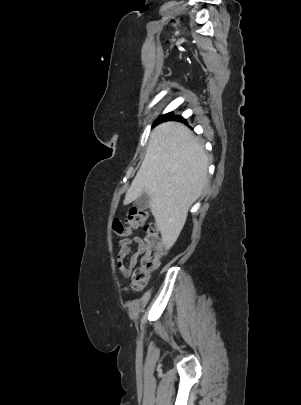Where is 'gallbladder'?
Returning a JSON list of instances; mask_svg holds the SVG:
<instances>
[{"instance_id":"obj_1","label":"gallbladder","mask_w":301,"mask_h":405,"mask_svg":"<svg viewBox=\"0 0 301 405\" xmlns=\"http://www.w3.org/2000/svg\"><path fill=\"white\" fill-rule=\"evenodd\" d=\"M150 204V196L146 192H143L135 201L133 206L138 211H143L149 207Z\"/></svg>"}]
</instances>
